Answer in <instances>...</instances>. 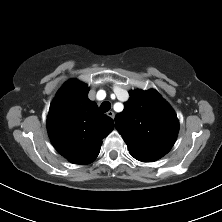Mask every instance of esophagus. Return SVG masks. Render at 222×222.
<instances>
[{"label":"esophagus","instance_id":"obj_1","mask_svg":"<svg viewBox=\"0 0 222 222\" xmlns=\"http://www.w3.org/2000/svg\"><path fill=\"white\" fill-rule=\"evenodd\" d=\"M107 115H108L109 117H111V118H114V116H115V114H114L113 111L107 112Z\"/></svg>","mask_w":222,"mask_h":222}]
</instances>
